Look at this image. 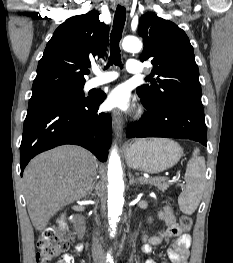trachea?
Listing matches in <instances>:
<instances>
[{"mask_svg":"<svg viewBox=\"0 0 233 263\" xmlns=\"http://www.w3.org/2000/svg\"><path fill=\"white\" fill-rule=\"evenodd\" d=\"M126 20V9L120 5L117 6L115 15H114V22H113V29L110 35V57H109V65H117L121 66V57H120V48L119 42L122 36V31L124 28Z\"/></svg>","mask_w":233,"mask_h":263,"instance_id":"obj_1","label":"trachea"}]
</instances>
